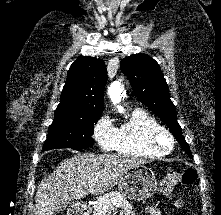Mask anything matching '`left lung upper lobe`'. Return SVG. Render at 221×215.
I'll return each mask as SVG.
<instances>
[{
  "label": "left lung upper lobe",
  "instance_id": "left-lung-upper-lobe-1",
  "mask_svg": "<svg viewBox=\"0 0 221 215\" xmlns=\"http://www.w3.org/2000/svg\"><path fill=\"white\" fill-rule=\"evenodd\" d=\"M120 68L127 75L137 98L167 124L173 136L192 158L158 63L146 54H134L124 58Z\"/></svg>",
  "mask_w": 221,
  "mask_h": 215
}]
</instances>
